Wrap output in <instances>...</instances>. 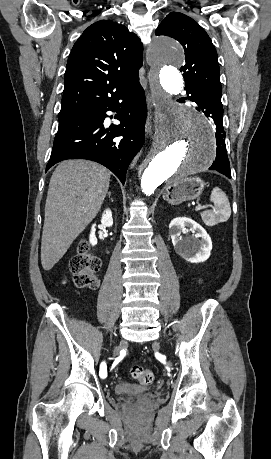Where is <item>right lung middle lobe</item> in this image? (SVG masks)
Here are the masks:
<instances>
[{"mask_svg":"<svg viewBox=\"0 0 271 459\" xmlns=\"http://www.w3.org/2000/svg\"><path fill=\"white\" fill-rule=\"evenodd\" d=\"M96 108H97V106H90V107H86V108H84L82 110H78V111L60 112V114H59V122L63 121V120H66V119H69V118H72V117H75V116L82 115V114L93 113V112L96 111Z\"/></svg>","mask_w":271,"mask_h":459,"instance_id":"obj_1","label":"right lung middle lobe"}]
</instances>
